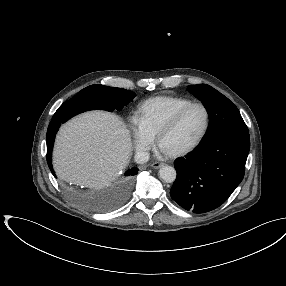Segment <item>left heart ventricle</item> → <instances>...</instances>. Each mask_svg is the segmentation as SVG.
<instances>
[{"label": "left heart ventricle", "instance_id": "obj_1", "mask_svg": "<svg viewBox=\"0 0 286 286\" xmlns=\"http://www.w3.org/2000/svg\"><path fill=\"white\" fill-rule=\"evenodd\" d=\"M205 125V113L199 106L189 109L163 138L162 149L175 152L189 147L200 136Z\"/></svg>", "mask_w": 286, "mask_h": 286}]
</instances>
